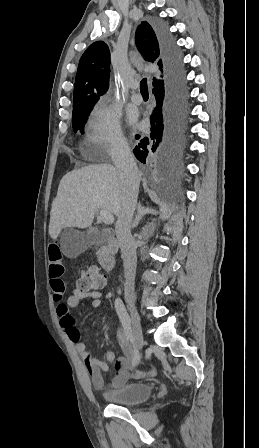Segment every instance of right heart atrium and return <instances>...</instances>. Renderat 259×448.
I'll use <instances>...</instances> for the list:
<instances>
[{"instance_id": "right-heart-atrium-1", "label": "right heart atrium", "mask_w": 259, "mask_h": 448, "mask_svg": "<svg viewBox=\"0 0 259 448\" xmlns=\"http://www.w3.org/2000/svg\"><path fill=\"white\" fill-rule=\"evenodd\" d=\"M85 143L90 150L115 154L125 145L118 115L103 101H99L91 111Z\"/></svg>"}]
</instances>
